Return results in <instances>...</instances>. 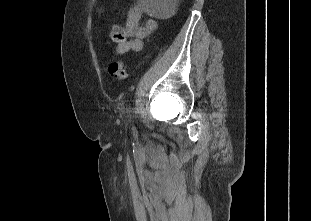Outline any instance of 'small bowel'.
<instances>
[{"label":"small bowel","mask_w":311,"mask_h":221,"mask_svg":"<svg viewBox=\"0 0 311 221\" xmlns=\"http://www.w3.org/2000/svg\"><path fill=\"white\" fill-rule=\"evenodd\" d=\"M142 10L139 6H132L127 13L124 32L129 38L120 42L116 47V54L123 55L130 51H142L143 40L157 28V20L153 17L147 18L141 25Z\"/></svg>","instance_id":"c3829d8e"}]
</instances>
